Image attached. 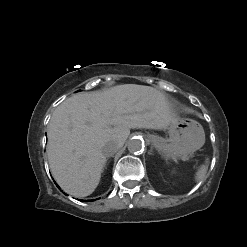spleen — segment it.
<instances>
[{
	"label": "spleen",
	"mask_w": 247,
	"mask_h": 247,
	"mask_svg": "<svg viewBox=\"0 0 247 247\" xmlns=\"http://www.w3.org/2000/svg\"><path fill=\"white\" fill-rule=\"evenodd\" d=\"M208 159H206V163L201 165L200 168L197 170L196 174H195V181L196 182H200L202 181L207 173L208 170Z\"/></svg>",
	"instance_id": "spleen-1"
}]
</instances>
